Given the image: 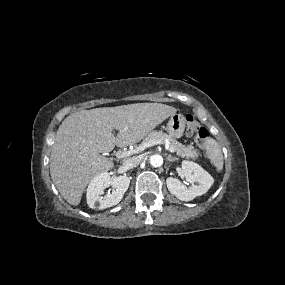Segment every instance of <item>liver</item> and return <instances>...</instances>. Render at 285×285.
<instances>
[{"mask_svg": "<svg viewBox=\"0 0 285 285\" xmlns=\"http://www.w3.org/2000/svg\"><path fill=\"white\" fill-rule=\"evenodd\" d=\"M176 111L161 103H134L67 116L57 130L50 158V175L62 197L79 205L91 179L114 167L100 153L112 151L115 145L138 143ZM113 129L118 131L116 137Z\"/></svg>", "mask_w": 285, "mask_h": 285, "instance_id": "1", "label": "liver"}]
</instances>
